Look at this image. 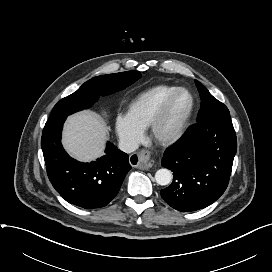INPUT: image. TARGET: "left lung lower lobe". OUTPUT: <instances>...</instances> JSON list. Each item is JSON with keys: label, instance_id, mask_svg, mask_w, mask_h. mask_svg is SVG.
<instances>
[{"label": "left lung lower lobe", "instance_id": "1", "mask_svg": "<svg viewBox=\"0 0 272 272\" xmlns=\"http://www.w3.org/2000/svg\"><path fill=\"white\" fill-rule=\"evenodd\" d=\"M237 150L230 115L197 122L162 158L173 182L162 198L179 211H195L214 203L226 190Z\"/></svg>", "mask_w": 272, "mask_h": 272}]
</instances>
